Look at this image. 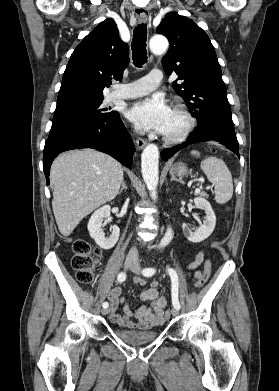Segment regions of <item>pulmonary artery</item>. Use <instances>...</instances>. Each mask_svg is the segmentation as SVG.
I'll list each match as a JSON object with an SVG mask.
<instances>
[{
  "label": "pulmonary artery",
  "instance_id": "pulmonary-artery-1",
  "mask_svg": "<svg viewBox=\"0 0 279 391\" xmlns=\"http://www.w3.org/2000/svg\"><path fill=\"white\" fill-rule=\"evenodd\" d=\"M162 81V75L159 71H151L141 79L129 84H119L111 93L110 98L130 99L148 94L154 91Z\"/></svg>",
  "mask_w": 279,
  "mask_h": 391
}]
</instances>
